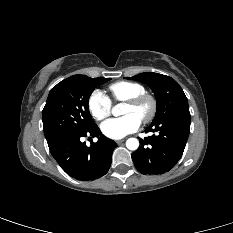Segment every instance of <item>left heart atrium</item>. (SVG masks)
Listing matches in <instances>:
<instances>
[{
    "instance_id": "1",
    "label": "left heart atrium",
    "mask_w": 233,
    "mask_h": 233,
    "mask_svg": "<svg viewBox=\"0 0 233 233\" xmlns=\"http://www.w3.org/2000/svg\"><path fill=\"white\" fill-rule=\"evenodd\" d=\"M141 120L133 114L108 119L101 124L102 133L110 139H122L138 130Z\"/></svg>"
}]
</instances>
